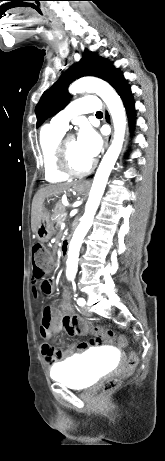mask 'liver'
I'll use <instances>...</instances> for the list:
<instances>
[{"instance_id":"liver-1","label":"liver","mask_w":165,"mask_h":461,"mask_svg":"<svg viewBox=\"0 0 165 461\" xmlns=\"http://www.w3.org/2000/svg\"><path fill=\"white\" fill-rule=\"evenodd\" d=\"M77 184L51 185L40 189L34 196L31 210V229L35 233L39 227L43 214L44 200L51 196H58L63 192L74 189Z\"/></svg>"}]
</instances>
